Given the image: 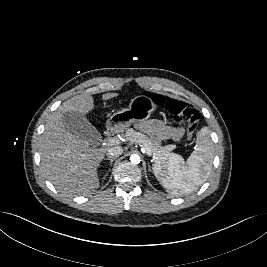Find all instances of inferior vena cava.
<instances>
[{
    "label": "inferior vena cava",
    "mask_w": 267,
    "mask_h": 267,
    "mask_svg": "<svg viewBox=\"0 0 267 267\" xmlns=\"http://www.w3.org/2000/svg\"><path fill=\"white\" fill-rule=\"evenodd\" d=\"M123 153V149L120 146H113L107 150V156L109 159H115Z\"/></svg>",
    "instance_id": "602c4592"
}]
</instances>
